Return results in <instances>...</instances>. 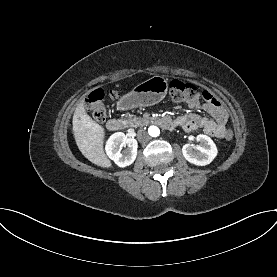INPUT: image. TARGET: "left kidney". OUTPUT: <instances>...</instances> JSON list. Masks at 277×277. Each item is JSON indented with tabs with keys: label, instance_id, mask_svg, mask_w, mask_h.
I'll return each instance as SVG.
<instances>
[{
	"label": "left kidney",
	"instance_id": "left-kidney-1",
	"mask_svg": "<svg viewBox=\"0 0 277 277\" xmlns=\"http://www.w3.org/2000/svg\"><path fill=\"white\" fill-rule=\"evenodd\" d=\"M196 140L201 146H197V151H194L190 144H185L182 148L184 158L198 166L210 164L218 153L215 143L209 136L203 134L197 135Z\"/></svg>",
	"mask_w": 277,
	"mask_h": 277
}]
</instances>
